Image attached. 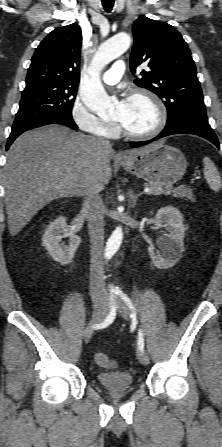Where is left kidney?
<instances>
[{
	"label": "left kidney",
	"mask_w": 222,
	"mask_h": 447,
	"mask_svg": "<svg viewBox=\"0 0 222 447\" xmlns=\"http://www.w3.org/2000/svg\"><path fill=\"white\" fill-rule=\"evenodd\" d=\"M154 223L158 228H165L168 234L158 240L162 255L157 254L155 248L150 246L148 248L149 256L158 269H168L180 260L184 252L183 216L177 208L162 207L156 213Z\"/></svg>",
	"instance_id": "5707ae66"
}]
</instances>
